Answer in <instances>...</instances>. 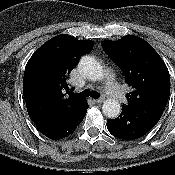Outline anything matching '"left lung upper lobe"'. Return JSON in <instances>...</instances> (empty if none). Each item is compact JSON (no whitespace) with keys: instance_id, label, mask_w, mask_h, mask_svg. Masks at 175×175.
<instances>
[{"instance_id":"obj_1","label":"left lung upper lobe","mask_w":175,"mask_h":175,"mask_svg":"<svg viewBox=\"0 0 175 175\" xmlns=\"http://www.w3.org/2000/svg\"><path fill=\"white\" fill-rule=\"evenodd\" d=\"M101 45L123 69L126 83L132 89L122 109L166 106L170 95L169 71L148 42L135 35H126L116 42L105 40Z\"/></svg>"}]
</instances>
